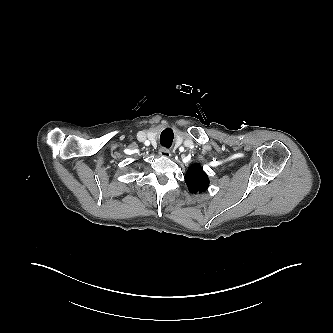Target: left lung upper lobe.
Returning <instances> with one entry per match:
<instances>
[{
	"label": "left lung upper lobe",
	"instance_id": "1",
	"mask_svg": "<svg viewBox=\"0 0 333 333\" xmlns=\"http://www.w3.org/2000/svg\"><path fill=\"white\" fill-rule=\"evenodd\" d=\"M185 181L189 191L194 194L206 191L209 186L208 176L199 164H194L188 169Z\"/></svg>",
	"mask_w": 333,
	"mask_h": 333
}]
</instances>
